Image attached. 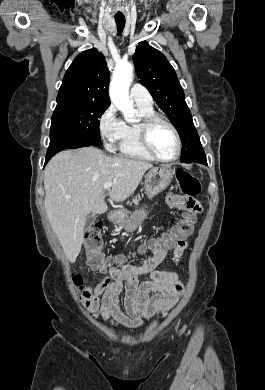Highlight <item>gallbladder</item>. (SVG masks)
I'll return each instance as SVG.
<instances>
[{"label": "gallbladder", "instance_id": "bac80fb5", "mask_svg": "<svg viewBox=\"0 0 265 390\" xmlns=\"http://www.w3.org/2000/svg\"><path fill=\"white\" fill-rule=\"evenodd\" d=\"M95 221H96V214L90 213L86 218L85 231L89 230Z\"/></svg>", "mask_w": 265, "mask_h": 390}]
</instances>
